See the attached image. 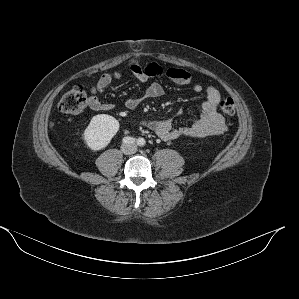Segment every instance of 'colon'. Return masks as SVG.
Wrapping results in <instances>:
<instances>
[{
	"label": "colon",
	"mask_w": 299,
	"mask_h": 299,
	"mask_svg": "<svg viewBox=\"0 0 299 299\" xmlns=\"http://www.w3.org/2000/svg\"><path fill=\"white\" fill-rule=\"evenodd\" d=\"M88 97L79 85L73 86L68 90L59 102V111L64 115H74L80 113L87 105ZM221 110L225 115H233L235 110L234 100L230 97L222 100L220 104Z\"/></svg>",
	"instance_id": "1"
}]
</instances>
